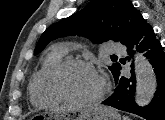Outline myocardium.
<instances>
[{"mask_svg": "<svg viewBox=\"0 0 165 120\" xmlns=\"http://www.w3.org/2000/svg\"><path fill=\"white\" fill-rule=\"evenodd\" d=\"M74 67H83L90 69L98 74L96 68L94 65L88 61L78 59V58H71L66 59L60 62L55 69L52 71L50 77H49V89L51 93L58 98L60 101L76 104V105H92L100 102L105 94H106V84L102 80V89L98 95H96L93 98L89 99H76L71 96H69L63 89L62 86V78L65 75V73ZM99 75V74H98Z\"/></svg>", "mask_w": 165, "mask_h": 120, "instance_id": "f54148a6", "label": "myocardium"}]
</instances>
